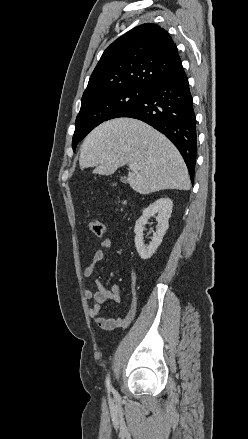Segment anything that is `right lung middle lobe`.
<instances>
[{
  "label": "right lung middle lobe",
  "instance_id": "dd1d6c3e",
  "mask_svg": "<svg viewBox=\"0 0 248 439\" xmlns=\"http://www.w3.org/2000/svg\"><path fill=\"white\" fill-rule=\"evenodd\" d=\"M146 92L147 90L140 88H123L82 103L75 122L73 151L92 129L104 121L119 117L133 107Z\"/></svg>",
  "mask_w": 248,
  "mask_h": 439
}]
</instances>
